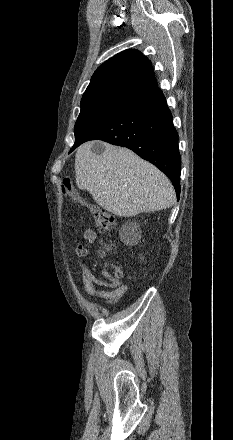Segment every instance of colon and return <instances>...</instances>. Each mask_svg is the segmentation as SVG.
Wrapping results in <instances>:
<instances>
[{"label": "colon", "instance_id": "1", "mask_svg": "<svg viewBox=\"0 0 233 440\" xmlns=\"http://www.w3.org/2000/svg\"><path fill=\"white\" fill-rule=\"evenodd\" d=\"M62 192L65 196L72 199L75 202H78L88 208L91 215L94 218V221L99 228L101 232H110L114 228V219L111 216L109 212H107L105 209L100 208L96 205L89 204L85 201H83L78 193L72 188L71 182L68 178L63 179L62 181ZM112 250V246L105 245L103 246L100 256L105 257L110 251ZM106 275H108L106 273ZM122 271L119 269H116L114 272V276L109 278V281L112 284H116L119 282V278L122 277ZM109 276V275H108Z\"/></svg>", "mask_w": 233, "mask_h": 440}]
</instances>
